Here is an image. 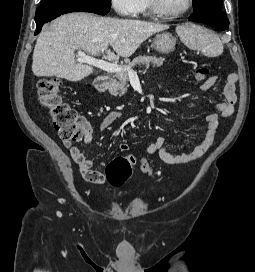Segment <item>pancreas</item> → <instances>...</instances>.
Segmentation results:
<instances>
[{
	"instance_id": "pancreas-1",
	"label": "pancreas",
	"mask_w": 255,
	"mask_h": 272,
	"mask_svg": "<svg viewBox=\"0 0 255 272\" xmlns=\"http://www.w3.org/2000/svg\"><path fill=\"white\" fill-rule=\"evenodd\" d=\"M164 59L161 57L156 56H139L134 58L131 62L128 64L122 66L124 69L120 72H117L115 74L117 82H114L110 86V92L112 94H119L120 96L123 95L127 88L129 87L128 81H129V74L127 69L133 70V68L137 65H145L147 68L150 66V64L153 65V67H160L163 65Z\"/></svg>"
}]
</instances>
